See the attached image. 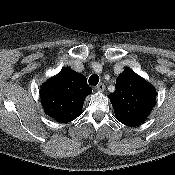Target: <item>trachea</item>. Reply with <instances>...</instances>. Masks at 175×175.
Returning <instances> with one entry per match:
<instances>
[{"instance_id":"1","label":"trachea","mask_w":175,"mask_h":175,"mask_svg":"<svg viewBox=\"0 0 175 175\" xmlns=\"http://www.w3.org/2000/svg\"><path fill=\"white\" fill-rule=\"evenodd\" d=\"M90 85L96 86L99 82V76L97 74H92L88 80Z\"/></svg>"}]
</instances>
